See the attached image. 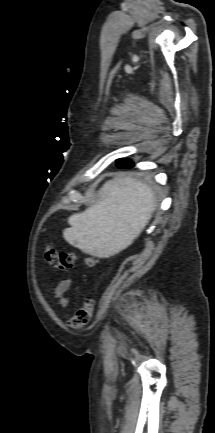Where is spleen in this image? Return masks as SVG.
<instances>
[{"label":"spleen","instance_id":"1","mask_svg":"<svg viewBox=\"0 0 215 433\" xmlns=\"http://www.w3.org/2000/svg\"><path fill=\"white\" fill-rule=\"evenodd\" d=\"M155 207L149 187L131 178L107 182L101 201L68 218L64 239L83 252L109 257L130 245L141 233Z\"/></svg>","mask_w":215,"mask_h":433}]
</instances>
